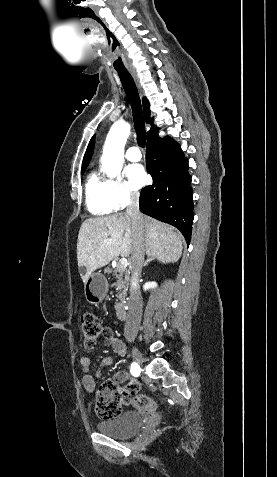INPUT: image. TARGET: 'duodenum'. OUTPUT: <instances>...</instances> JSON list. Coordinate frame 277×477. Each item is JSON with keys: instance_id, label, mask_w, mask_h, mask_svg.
I'll use <instances>...</instances> for the list:
<instances>
[{"instance_id": "obj_1", "label": "duodenum", "mask_w": 277, "mask_h": 477, "mask_svg": "<svg viewBox=\"0 0 277 477\" xmlns=\"http://www.w3.org/2000/svg\"><path fill=\"white\" fill-rule=\"evenodd\" d=\"M116 316L119 320H125L126 319V311L123 305L119 304L116 306Z\"/></svg>"}]
</instances>
